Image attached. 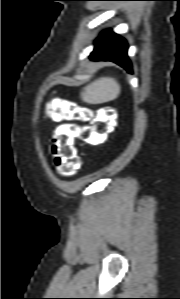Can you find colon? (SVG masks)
<instances>
[{
    "label": "colon",
    "mask_w": 180,
    "mask_h": 299,
    "mask_svg": "<svg viewBox=\"0 0 180 299\" xmlns=\"http://www.w3.org/2000/svg\"><path fill=\"white\" fill-rule=\"evenodd\" d=\"M105 115H94L92 110L73 103H62L53 109V114L62 119L87 123L84 127L63 124L53 134L51 153L56 170L65 176H72L81 168L82 162L76 152L75 140L97 144L107 139L114 128L115 114L112 109L104 108Z\"/></svg>",
    "instance_id": "colon-1"
}]
</instances>
